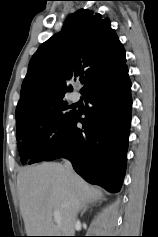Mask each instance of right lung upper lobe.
Instances as JSON below:
<instances>
[{
	"label": "right lung upper lobe",
	"mask_w": 158,
	"mask_h": 237,
	"mask_svg": "<svg viewBox=\"0 0 158 237\" xmlns=\"http://www.w3.org/2000/svg\"><path fill=\"white\" fill-rule=\"evenodd\" d=\"M126 62L125 50L101 14L80 9L69 15L62 30L32 56L21 86L16 118L37 114L71 91L69 81L84 78L85 91Z\"/></svg>",
	"instance_id": "right-lung-upper-lobe-1"
}]
</instances>
